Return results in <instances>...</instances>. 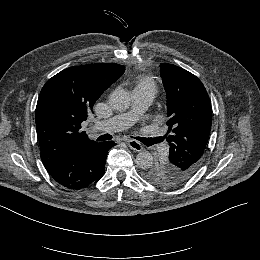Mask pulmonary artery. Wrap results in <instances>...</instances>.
<instances>
[{"mask_svg":"<svg viewBox=\"0 0 260 260\" xmlns=\"http://www.w3.org/2000/svg\"><path fill=\"white\" fill-rule=\"evenodd\" d=\"M132 97L133 101L128 104L122 115H117L110 120L101 122L95 125L92 130L95 132L108 131L109 133H117L120 130V126L122 128H130L138 114L146 109L153 100L152 94L141 91L134 92ZM116 119H119V122Z\"/></svg>","mask_w":260,"mask_h":260,"instance_id":"e3ab8cb5","label":"pulmonary artery"}]
</instances>
